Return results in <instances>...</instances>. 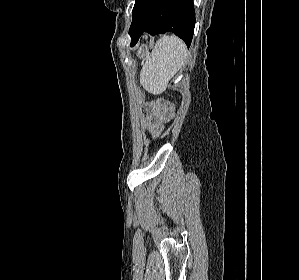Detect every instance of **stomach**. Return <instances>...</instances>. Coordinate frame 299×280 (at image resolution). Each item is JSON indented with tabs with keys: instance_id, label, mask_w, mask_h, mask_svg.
Wrapping results in <instances>:
<instances>
[{
	"instance_id": "0dacf381",
	"label": "stomach",
	"mask_w": 299,
	"mask_h": 280,
	"mask_svg": "<svg viewBox=\"0 0 299 280\" xmlns=\"http://www.w3.org/2000/svg\"><path fill=\"white\" fill-rule=\"evenodd\" d=\"M138 55L141 58L146 57L148 55V48L146 46L140 47Z\"/></svg>"
}]
</instances>
